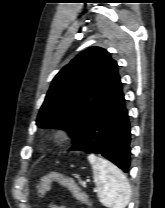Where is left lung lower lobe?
Listing matches in <instances>:
<instances>
[{
    "instance_id": "0a47b994",
    "label": "left lung lower lobe",
    "mask_w": 165,
    "mask_h": 208,
    "mask_svg": "<svg viewBox=\"0 0 165 208\" xmlns=\"http://www.w3.org/2000/svg\"><path fill=\"white\" fill-rule=\"evenodd\" d=\"M130 141L129 116L119 79L68 151L99 153L127 173L131 160Z\"/></svg>"
}]
</instances>
